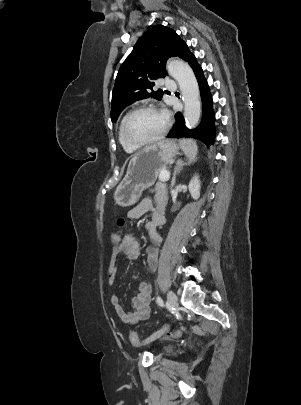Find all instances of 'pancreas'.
Returning <instances> with one entry per match:
<instances>
[{
	"instance_id": "cf45deb5",
	"label": "pancreas",
	"mask_w": 301,
	"mask_h": 405,
	"mask_svg": "<svg viewBox=\"0 0 301 405\" xmlns=\"http://www.w3.org/2000/svg\"><path fill=\"white\" fill-rule=\"evenodd\" d=\"M162 171H166V168H162L159 171V175ZM154 200L158 209L160 210L165 209L168 202V196L166 194L165 185L162 182H158L156 184Z\"/></svg>"
}]
</instances>
